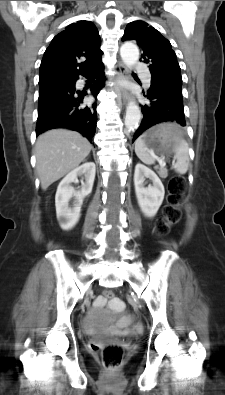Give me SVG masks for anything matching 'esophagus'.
<instances>
[{
    "instance_id": "obj_1",
    "label": "esophagus",
    "mask_w": 225,
    "mask_h": 395,
    "mask_svg": "<svg viewBox=\"0 0 225 395\" xmlns=\"http://www.w3.org/2000/svg\"><path fill=\"white\" fill-rule=\"evenodd\" d=\"M116 81L119 82L126 74V67L124 66L123 63L119 62L118 65L116 66ZM116 91L118 93L119 99L122 100L124 103L129 101L130 99V94L126 88L123 87H117Z\"/></svg>"
}]
</instances>
